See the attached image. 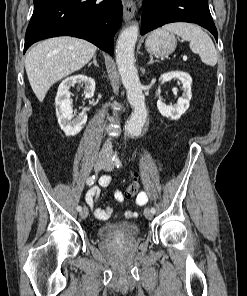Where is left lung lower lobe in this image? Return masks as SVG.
I'll list each match as a JSON object with an SVG mask.
<instances>
[{
    "mask_svg": "<svg viewBox=\"0 0 247 296\" xmlns=\"http://www.w3.org/2000/svg\"><path fill=\"white\" fill-rule=\"evenodd\" d=\"M189 22L218 34L208 7V0H144L141 35L164 24Z\"/></svg>",
    "mask_w": 247,
    "mask_h": 296,
    "instance_id": "left-lung-lower-lobe-1",
    "label": "left lung lower lobe"
}]
</instances>
